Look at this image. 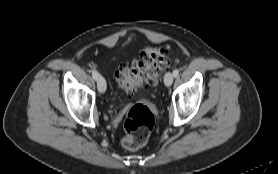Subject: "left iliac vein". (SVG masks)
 I'll use <instances>...</instances> for the list:
<instances>
[{
	"label": "left iliac vein",
	"mask_w": 278,
	"mask_h": 174,
	"mask_svg": "<svg viewBox=\"0 0 278 174\" xmlns=\"http://www.w3.org/2000/svg\"><path fill=\"white\" fill-rule=\"evenodd\" d=\"M174 76L171 72H167L164 76V83L166 86H171L173 83Z\"/></svg>",
	"instance_id": "4c4485c4"
}]
</instances>
